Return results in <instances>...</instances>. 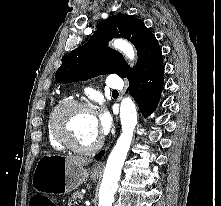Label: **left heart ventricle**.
Here are the masks:
<instances>
[{"instance_id":"left-heart-ventricle-1","label":"left heart ventricle","mask_w":221,"mask_h":206,"mask_svg":"<svg viewBox=\"0 0 221 206\" xmlns=\"http://www.w3.org/2000/svg\"><path fill=\"white\" fill-rule=\"evenodd\" d=\"M67 124L79 146H91L99 137L91 111L73 109L67 117Z\"/></svg>"}]
</instances>
